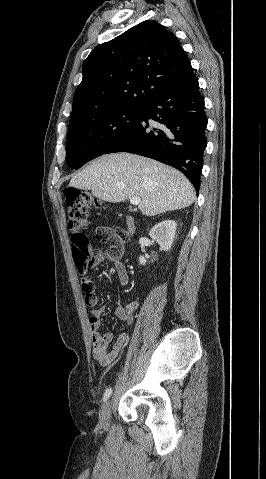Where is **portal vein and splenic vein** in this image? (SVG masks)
I'll return each mask as SVG.
<instances>
[{
  "mask_svg": "<svg viewBox=\"0 0 266 479\" xmlns=\"http://www.w3.org/2000/svg\"><path fill=\"white\" fill-rule=\"evenodd\" d=\"M140 202H141V200H140L139 197H132V198H130V203H131L132 205H138Z\"/></svg>",
  "mask_w": 266,
  "mask_h": 479,
  "instance_id": "1",
  "label": "portal vein and splenic vein"
}]
</instances>
